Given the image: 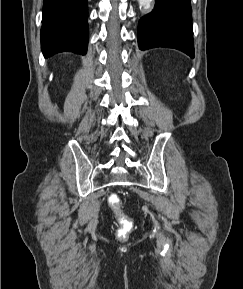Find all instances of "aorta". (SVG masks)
Returning <instances> with one entry per match:
<instances>
[{"instance_id":"obj_1","label":"aorta","mask_w":243,"mask_h":289,"mask_svg":"<svg viewBox=\"0 0 243 289\" xmlns=\"http://www.w3.org/2000/svg\"><path fill=\"white\" fill-rule=\"evenodd\" d=\"M139 5L145 9H149L151 7L152 0H138Z\"/></svg>"}]
</instances>
